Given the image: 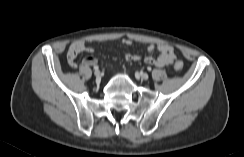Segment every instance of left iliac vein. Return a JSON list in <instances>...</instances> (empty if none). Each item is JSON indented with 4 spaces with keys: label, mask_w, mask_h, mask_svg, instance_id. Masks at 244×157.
<instances>
[{
    "label": "left iliac vein",
    "mask_w": 244,
    "mask_h": 157,
    "mask_svg": "<svg viewBox=\"0 0 244 157\" xmlns=\"http://www.w3.org/2000/svg\"><path fill=\"white\" fill-rule=\"evenodd\" d=\"M140 77L142 80H147L149 78L148 74L143 72L140 73Z\"/></svg>",
    "instance_id": "1"
}]
</instances>
